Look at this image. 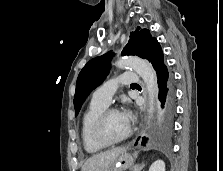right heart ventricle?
<instances>
[{
    "label": "right heart ventricle",
    "mask_w": 223,
    "mask_h": 171,
    "mask_svg": "<svg viewBox=\"0 0 223 171\" xmlns=\"http://www.w3.org/2000/svg\"><path fill=\"white\" fill-rule=\"evenodd\" d=\"M107 106L92 100L83 113L81 119L80 135L83 144V148L87 153L95 154L102 151L105 146L98 144L92 136V125L96 117L106 108Z\"/></svg>",
    "instance_id": "e07e8e85"
}]
</instances>
